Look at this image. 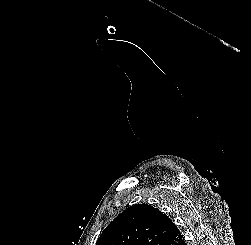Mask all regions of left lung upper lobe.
I'll use <instances>...</instances> for the list:
<instances>
[{"instance_id": "obj_1", "label": "left lung upper lobe", "mask_w": 251, "mask_h": 245, "mask_svg": "<svg viewBox=\"0 0 251 245\" xmlns=\"http://www.w3.org/2000/svg\"><path fill=\"white\" fill-rule=\"evenodd\" d=\"M180 230L159 209L136 204L120 213L102 232L96 245H178Z\"/></svg>"}]
</instances>
